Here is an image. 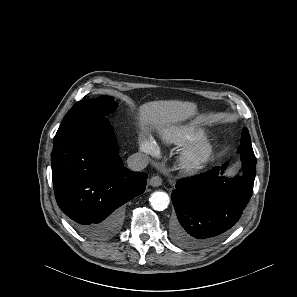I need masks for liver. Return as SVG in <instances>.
Masks as SVG:
<instances>
[{"label":"liver","mask_w":297,"mask_h":297,"mask_svg":"<svg viewBox=\"0 0 297 297\" xmlns=\"http://www.w3.org/2000/svg\"><path fill=\"white\" fill-rule=\"evenodd\" d=\"M197 107L193 102L179 100H159L147 102L139 108L141 127L165 129L188 119L196 113Z\"/></svg>","instance_id":"6515ba94"}]
</instances>
